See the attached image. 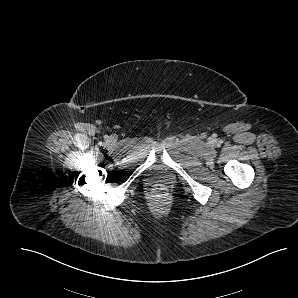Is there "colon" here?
<instances>
[{
    "label": "colon",
    "instance_id": "1",
    "mask_svg": "<svg viewBox=\"0 0 298 298\" xmlns=\"http://www.w3.org/2000/svg\"><path fill=\"white\" fill-rule=\"evenodd\" d=\"M157 191H158V193H159V194H161V195H162V194H164V192H165V189H164V188H162V187H159Z\"/></svg>",
    "mask_w": 298,
    "mask_h": 298
}]
</instances>
